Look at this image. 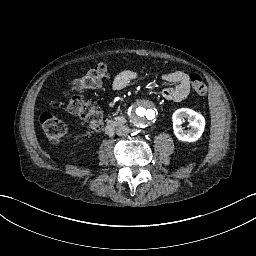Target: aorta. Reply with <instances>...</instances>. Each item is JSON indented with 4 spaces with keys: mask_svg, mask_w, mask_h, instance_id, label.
<instances>
[{
    "mask_svg": "<svg viewBox=\"0 0 256 256\" xmlns=\"http://www.w3.org/2000/svg\"><path fill=\"white\" fill-rule=\"evenodd\" d=\"M130 119L138 127H149L157 119V108L149 100H138L130 108Z\"/></svg>",
    "mask_w": 256,
    "mask_h": 256,
    "instance_id": "1",
    "label": "aorta"
}]
</instances>
